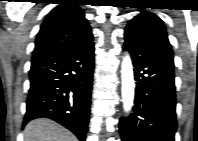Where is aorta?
<instances>
[{"label":"aorta","instance_id":"762f6f07","mask_svg":"<svg viewBox=\"0 0 198 141\" xmlns=\"http://www.w3.org/2000/svg\"><path fill=\"white\" fill-rule=\"evenodd\" d=\"M121 80H122V102L123 108L126 113H128L134 102L135 94V83H134V73L132 61L128 53L123 57L121 64Z\"/></svg>","mask_w":198,"mask_h":141}]
</instances>
